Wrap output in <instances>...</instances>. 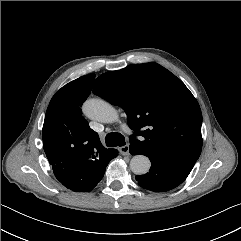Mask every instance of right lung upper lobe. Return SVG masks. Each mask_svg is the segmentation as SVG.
<instances>
[{
    "mask_svg": "<svg viewBox=\"0 0 241 241\" xmlns=\"http://www.w3.org/2000/svg\"><path fill=\"white\" fill-rule=\"evenodd\" d=\"M94 78V74H89L73 80L52 97L42 130L43 148L50 164L98 161L113 154L114 149H106L82 117L80 106L89 96Z\"/></svg>",
    "mask_w": 241,
    "mask_h": 241,
    "instance_id": "obj_1",
    "label": "right lung upper lobe"
}]
</instances>
